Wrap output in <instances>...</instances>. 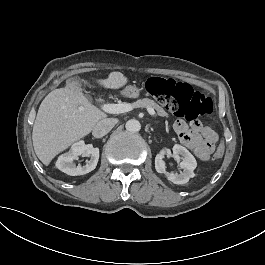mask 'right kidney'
I'll list each match as a JSON object with an SVG mask.
<instances>
[{"label":"right kidney","mask_w":265,"mask_h":265,"mask_svg":"<svg viewBox=\"0 0 265 265\" xmlns=\"http://www.w3.org/2000/svg\"><path fill=\"white\" fill-rule=\"evenodd\" d=\"M80 155L84 157H90V160L85 166H76L73 163V160ZM98 159L99 149L94 148L92 144L86 145L83 140H80L71 146L69 152L58 157V160L56 161V167L62 172L71 176L84 175L96 168Z\"/></svg>","instance_id":"obj_1"}]
</instances>
